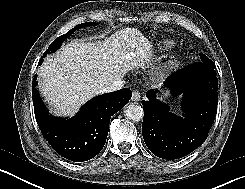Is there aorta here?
<instances>
[{"label": "aorta", "instance_id": "aorta-1", "mask_svg": "<svg viewBox=\"0 0 245 189\" xmlns=\"http://www.w3.org/2000/svg\"><path fill=\"white\" fill-rule=\"evenodd\" d=\"M125 116L135 122H138L143 117V109L135 103L128 104L124 109Z\"/></svg>", "mask_w": 245, "mask_h": 189}]
</instances>
